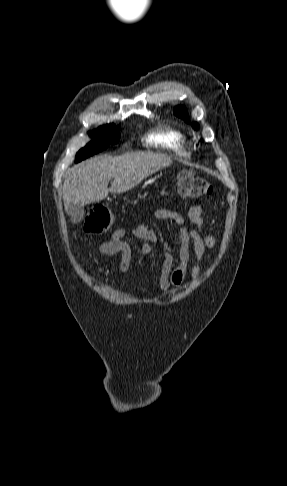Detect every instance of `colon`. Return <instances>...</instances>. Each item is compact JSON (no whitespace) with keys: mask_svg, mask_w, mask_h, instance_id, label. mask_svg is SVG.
Segmentation results:
<instances>
[{"mask_svg":"<svg viewBox=\"0 0 287 486\" xmlns=\"http://www.w3.org/2000/svg\"><path fill=\"white\" fill-rule=\"evenodd\" d=\"M177 190L186 197H203L212 193L210 182L191 171H181L177 175ZM112 224V214L105 205H96L88 214L84 229L90 234H102Z\"/></svg>","mask_w":287,"mask_h":486,"instance_id":"obj_1","label":"colon"}]
</instances>
